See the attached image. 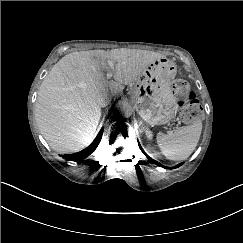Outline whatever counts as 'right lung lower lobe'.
Here are the masks:
<instances>
[{
	"label": "right lung lower lobe",
	"instance_id": "right-lung-lower-lobe-1",
	"mask_svg": "<svg viewBox=\"0 0 243 243\" xmlns=\"http://www.w3.org/2000/svg\"><path fill=\"white\" fill-rule=\"evenodd\" d=\"M102 134H103V128L100 130L97 137L95 138V140L92 142V144L90 146H88L86 149H84L78 153L64 155L63 158L65 160H71V161H77V162L84 160L97 148V146L102 138Z\"/></svg>",
	"mask_w": 243,
	"mask_h": 243
}]
</instances>
